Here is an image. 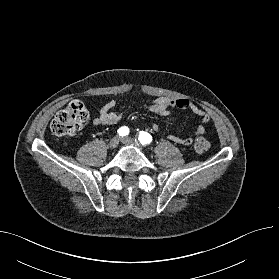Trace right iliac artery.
I'll list each match as a JSON object with an SVG mask.
<instances>
[{
	"instance_id": "obj_1",
	"label": "right iliac artery",
	"mask_w": 279,
	"mask_h": 279,
	"mask_svg": "<svg viewBox=\"0 0 279 279\" xmlns=\"http://www.w3.org/2000/svg\"><path fill=\"white\" fill-rule=\"evenodd\" d=\"M118 134L120 135V136H127L128 134H129V129H128V127H126V126H123V127H121L119 130H118Z\"/></svg>"
}]
</instances>
